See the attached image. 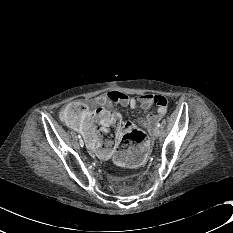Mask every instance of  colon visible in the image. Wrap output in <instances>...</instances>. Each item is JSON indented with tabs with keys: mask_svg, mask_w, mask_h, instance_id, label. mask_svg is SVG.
<instances>
[{
	"mask_svg": "<svg viewBox=\"0 0 233 233\" xmlns=\"http://www.w3.org/2000/svg\"><path fill=\"white\" fill-rule=\"evenodd\" d=\"M84 107L81 103L73 102L68 104L63 112V120L68 124L72 125L79 123L81 117L83 116ZM100 119L105 120L106 113L103 111L97 112ZM121 129H123V136L120 140V149H132L139 143H145L147 140L146 134L139 128H136L134 124L127 122L122 124Z\"/></svg>",
	"mask_w": 233,
	"mask_h": 233,
	"instance_id": "5ec220e1",
	"label": "colon"
}]
</instances>
